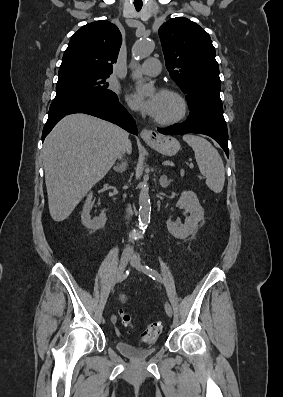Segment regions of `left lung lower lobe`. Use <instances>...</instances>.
I'll list each match as a JSON object with an SVG mask.
<instances>
[{"label":"left lung lower lobe","instance_id":"0a47b994","mask_svg":"<svg viewBox=\"0 0 283 397\" xmlns=\"http://www.w3.org/2000/svg\"><path fill=\"white\" fill-rule=\"evenodd\" d=\"M164 135H177L185 133H199L212 137L223 148L227 157L228 131L223 112L207 108H196L190 110V115L183 123L175 124L164 129L158 128Z\"/></svg>","mask_w":283,"mask_h":397}]
</instances>
